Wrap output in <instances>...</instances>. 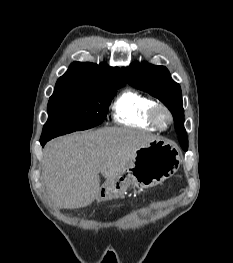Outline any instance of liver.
<instances>
[{"label":"liver","instance_id":"1","mask_svg":"<svg viewBox=\"0 0 233 263\" xmlns=\"http://www.w3.org/2000/svg\"><path fill=\"white\" fill-rule=\"evenodd\" d=\"M158 137L129 128H103L50 141L44 148L42 177L59 208L90 205L100 193L101 174L115 179L133 153Z\"/></svg>","mask_w":233,"mask_h":263}]
</instances>
